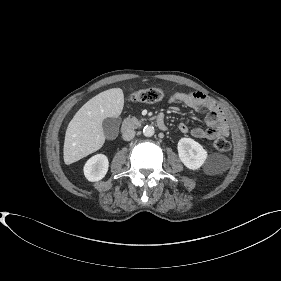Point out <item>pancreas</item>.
I'll return each instance as SVG.
<instances>
[{
    "instance_id": "obj_1",
    "label": "pancreas",
    "mask_w": 281,
    "mask_h": 281,
    "mask_svg": "<svg viewBox=\"0 0 281 281\" xmlns=\"http://www.w3.org/2000/svg\"><path fill=\"white\" fill-rule=\"evenodd\" d=\"M138 120L135 117H128L124 120V125L134 126Z\"/></svg>"
}]
</instances>
